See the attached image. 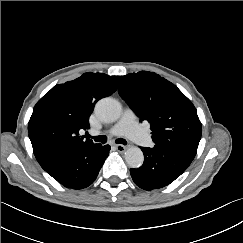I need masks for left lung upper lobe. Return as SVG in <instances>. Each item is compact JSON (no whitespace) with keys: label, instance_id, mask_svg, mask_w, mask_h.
Instances as JSON below:
<instances>
[{"label":"left lung upper lobe","instance_id":"5c2ea615","mask_svg":"<svg viewBox=\"0 0 243 243\" xmlns=\"http://www.w3.org/2000/svg\"><path fill=\"white\" fill-rule=\"evenodd\" d=\"M121 97L151 124L155 145L184 144L198 147L202 126L192 102L168 80L140 71L120 77Z\"/></svg>","mask_w":243,"mask_h":243}]
</instances>
